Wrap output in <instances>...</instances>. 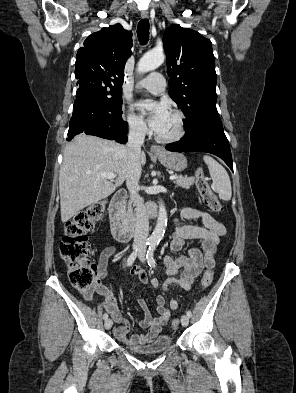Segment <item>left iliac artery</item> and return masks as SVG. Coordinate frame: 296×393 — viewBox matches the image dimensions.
<instances>
[{
  "instance_id": "44dca946",
  "label": "left iliac artery",
  "mask_w": 296,
  "mask_h": 393,
  "mask_svg": "<svg viewBox=\"0 0 296 393\" xmlns=\"http://www.w3.org/2000/svg\"><path fill=\"white\" fill-rule=\"evenodd\" d=\"M156 246L157 245L155 243H150L149 248L147 250V255H146L148 265L153 268L156 267V261L154 259V251L156 249ZM187 316L188 317L192 316V312L190 310L187 311Z\"/></svg>"
}]
</instances>
